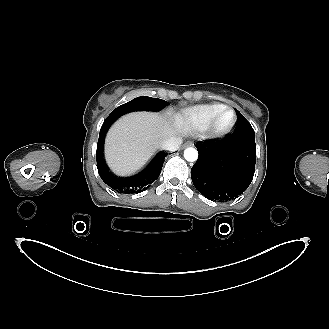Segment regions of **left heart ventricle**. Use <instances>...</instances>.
<instances>
[{"instance_id":"obj_1","label":"left heart ventricle","mask_w":329,"mask_h":329,"mask_svg":"<svg viewBox=\"0 0 329 329\" xmlns=\"http://www.w3.org/2000/svg\"><path fill=\"white\" fill-rule=\"evenodd\" d=\"M233 120V114L231 112H225L219 120V126L227 127Z\"/></svg>"}]
</instances>
